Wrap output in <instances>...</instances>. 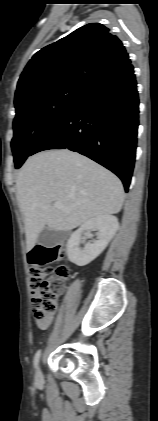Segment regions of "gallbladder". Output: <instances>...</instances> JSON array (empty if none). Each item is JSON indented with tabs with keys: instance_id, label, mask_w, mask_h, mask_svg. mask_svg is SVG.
Segmentation results:
<instances>
[{
	"instance_id": "1",
	"label": "gallbladder",
	"mask_w": 158,
	"mask_h": 421,
	"mask_svg": "<svg viewBox=\"0 0 158 421\" xmlns=\"http://www.w3.org/2000/svg\"><path fill=\"white\" fill-rule=\"evenodd\" d=\"M67 232L59 230H51L45 227L38 235L37 242L46 248H52L64 242Z\"/></svg>"
}]
</instances>
